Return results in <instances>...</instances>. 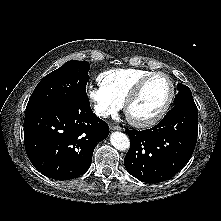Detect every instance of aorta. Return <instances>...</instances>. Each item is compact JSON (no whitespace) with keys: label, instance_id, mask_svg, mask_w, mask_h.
<instances>
[{"label":"aorta","instance_id":"obj_1","mask_svg":"<svg viewBox=\"0 0 221 221\" xmlns=\"http://www.w3.org/2000/svg\"><path fill=\"white\" fill-rule=\"evenodd\" d=\"M110 142L114 148L120 151H125L130 147L128 136L122 132H113L110 135Z\"/></svg>","mask_w":221,"mask_h":221}]
</instances>
